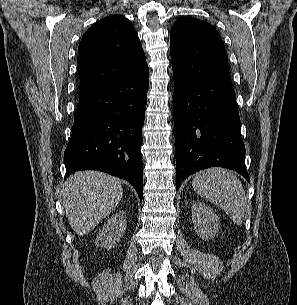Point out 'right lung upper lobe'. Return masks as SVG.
I'll use <instances>...</instances> for the list:
<instances>
[{"label":"right lung upper lobe","instance_id":"right-lung-upper-lobe-1","mask_svg":"<svg viewBox=\"0 0 297 305\" xmlns=\"http://www.w3.org/2000/svg\"><path fill=\"white\" fill-rule=\"evenodd\" d=\"M145 67V54L131 22L122 15L105 17L87 30L79 44V99Z\"/></svg>","mask_w":297,"mask_h":305}]
</instances>
